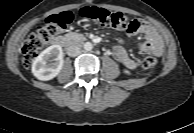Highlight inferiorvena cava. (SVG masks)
Wrapping results in <instances>:
<instances>
[{
    "mask_svg": "<svg viewBox=\"0 0 194 133\" xmlns=\"http://www.w3.org/2000/svg\"><path fill=\"white\" fill-rule=\"evenodd\" d=\"M81 53V49L79 46L72 45L67 48V54L71 57H75Z\"/></svg>",
    "mask_w": 194,
    "mask_h": 133,
    "instance_id": "1",
    "label": "inferior vena cava"
}]
</instances>
